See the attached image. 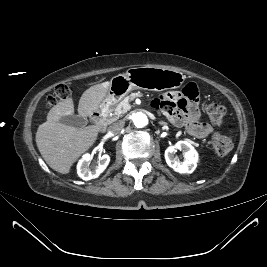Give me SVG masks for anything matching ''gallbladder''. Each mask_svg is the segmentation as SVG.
Wrapping results in <instances>:
<instances>
[{
    "mask_svg": "<svg viewBox=\"0 0 267 267\" xmlns=\"http://www.w3.org/2000/svg\"><path fill=\"white\" fill-rule=\"evenodd\" d=\"M59 121L62 124L72 126L75 128H83L84 126L87 125V122H88L86 118L79 116V115L65 116V117H62Z\"/></svg>",
    "mask_w": 267,
    "mask_h": 267,
    "instance_id": "bac80fb5",
    "label": "gallbladder"
}]
</instances>
